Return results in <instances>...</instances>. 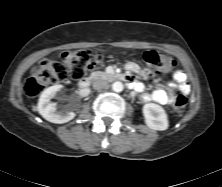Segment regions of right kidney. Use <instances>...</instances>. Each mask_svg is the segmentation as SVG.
Instances as JSON below:
<instances>
[{
    "instance_id": "1",
    "label": "right kidney",
    "mask_w": 222,
    "mask_h": 187,
    "mask_svg": "<svg viewBox=\"0 0 222 187\" xmlns=\"http://www.w3.org/2000/svg\"><path fill=\"white\" fill-rule=\"evenodd\" d=\"M62 89V85H54L45 89L38 101V111L44 119L49 122L63 124L75 117L74 112L63 114L57 111L56 103L51 102V99Z\"/></svg>"
}]
</instances>
